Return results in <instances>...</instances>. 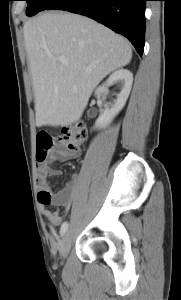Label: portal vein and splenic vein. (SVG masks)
Masks as SVG:
<instances>
[{"label":"portal vein and splenic vein","mask_w":181,"mask_h":300,"mask_svg":"<svg viewBox=\"0 0 181 300\" xmlns=\"http://www.w3.org/2000/svg\"><path fill=\"white\" fill-rule=\"evenodd\" d=\"M61 63L64 65V66H67V62L65 60H61Z\"/></svg>","instance_id":"obj_1"}]
</instances>
